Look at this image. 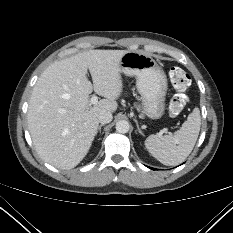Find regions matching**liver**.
<instances>
[{
    "instance_id": "liver-1",
    "label": "liver",
    "mask_w": 233,
    "mask_h": 233,
    "mask_svg": "<svg viewBox=\"0 0 233 233\" xmlns=\"http://www.w3.org/2000/svg\"><path fill=\"white\" fill-rule=\"evenodd\" d=\"M127 52H82L55 61L38 78L29 101L28 129L45 162L71 169L86 156L98 131L100 112L117 110L123 87L120 61ZM93 90L105 99L92 106Z\"/></svg>"
}]
</instances>
